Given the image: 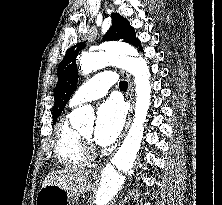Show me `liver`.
<instances>
[{
	"instance_id": "liver-1",
	"label": "liver",
	"mask_w": 222,
	"mask_h": 205,
	"mask_svg": "<svg viewBox=\"0 0 222 205\" xmlns=\"http://www.w3.org/2000/svg\"><path fill=\"white\" fill-rule=\"evenodd\" d=\"M91 174V170L76 168L58 170L48 174L42 186L57 185L71 196H79L90 189L92 184Z\"/></svg>"
}]
</instances>
